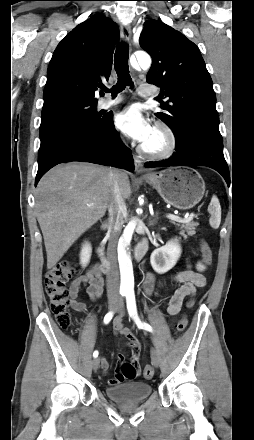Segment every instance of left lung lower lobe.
<instances>
[{
  "instance_id": "obj_1",
  "label": "left lung lower lobe",
  "mask_w": 254,
  "mask_h": 440,
  "mask_svg": "<svg viewBox=\"0 0 254 440\" xmlns=\"http://www.w3.org/2000/svg\"><path fill=\"white\" fill-rule=\"evenodd\" d=\"M176 152L160 162H147L145 167L202 165L218 171L230 183L229 169L223 155V140L218 127L193 123L181 141L176 139Z\"/></svg>"
}]
</instances>
